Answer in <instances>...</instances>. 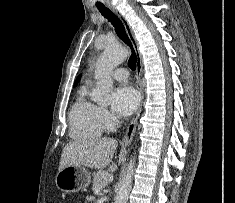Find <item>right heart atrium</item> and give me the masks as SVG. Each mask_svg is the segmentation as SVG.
<instances>
[{
  "label": "right heart atrium",
  "instance_id": "1",
  "mask_svg": "<svg viewBox=\"0 0 235 203\" xmlns=\"http://www.w3.org/2000/svg\"><path fill=\"white\" fill-rule=\"evenodd\" d=\"M98 117L105 130H110L115 126V118L103 107H98Z\"/></svg>",
  "mask_w": 235,
  "mask_h": 203
}]
</instances>
